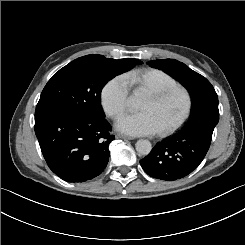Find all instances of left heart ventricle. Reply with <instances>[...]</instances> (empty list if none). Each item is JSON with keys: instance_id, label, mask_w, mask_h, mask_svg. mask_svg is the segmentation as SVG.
<instances>
[{"instance_id": "1", "label": "left heart ventricle", "mask_w": 245, "mask_h": 245, "mask_svg": "<svg viewBox=\"0 0 245 245\" xmlns=\"http://www.w3.org/2000/svg\"><path fill=\"white\" fill-rule=\"evenodd\" d=\"M184 99L176 94L162 103H156L151 96L144 95L139 111L150 112L160 125V128L174 122L183 112Z\"/></svg>"}]
</instances>
